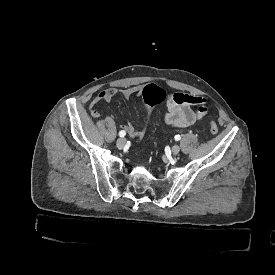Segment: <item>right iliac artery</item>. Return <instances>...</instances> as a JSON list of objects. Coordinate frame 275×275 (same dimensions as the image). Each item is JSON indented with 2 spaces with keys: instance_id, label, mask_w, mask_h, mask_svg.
Segmentation results:
<instances>
[{
  "instance_id": "obj_1",
  "label": "right iliac artery",
  "mask_w": 275,
  "mask_h": 275,
  "mask_svg": "<svg viewBox=\"0 0 275 275\" xmlns=\"http://www.w3.org/2000/svg\"><path fill=\"white\" fill-rule=\"evenodd\" d=\"M126 135V132L124 130L120 131L119 132V136L120 137H124Z\"/></svg>"
}]
</instances>
